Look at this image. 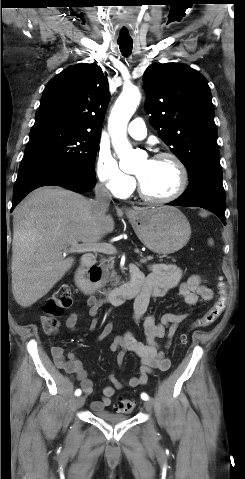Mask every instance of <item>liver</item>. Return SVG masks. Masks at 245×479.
<instances>
[{"instance_id": "6515ba94", "label": "liver", "mask_w": 245, "mask_h": 479, "mask_svg": "<svg viewBox=\"0 0 245 479\" xmlns=\"http://www.w3.org/2000/svg\"><path fill=\"white\" fill-rule=\"evenodd\" d=\"M92 200L61 187L33 191L14 210L12 292L29 307L45 296L74 263L71 242L96 243L114 230L111 215Z\"/></svg>"}]
</instances>
